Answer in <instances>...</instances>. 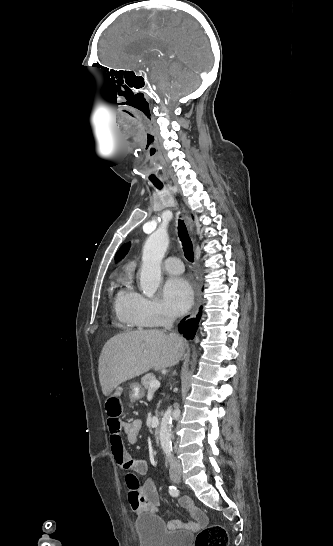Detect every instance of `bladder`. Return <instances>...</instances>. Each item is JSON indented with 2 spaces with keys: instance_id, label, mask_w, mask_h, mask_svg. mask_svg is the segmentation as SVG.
Here are the masks:
<instances>
[{
  "instance_id": "bladder-1",
  "label": "bladder",
  "mask_w": 333,
  "mask_h": 546,
  "mask_svg": "<svg viewBox=\"0 0 333 546\" xmlns=\"http://www.w3.org/2000/svg\"><path fill=\"white\" fill-rule=\"evenodd\" d=\"M134 528L140 546H191V533L169 531L163 521L152 514L139 516L135 520Z\"/></svg>"
}]
</instances>
